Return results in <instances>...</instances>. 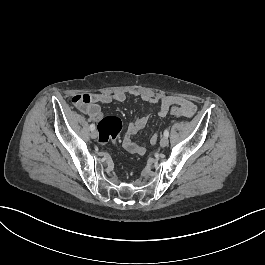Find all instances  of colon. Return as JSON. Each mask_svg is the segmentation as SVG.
Here are the masks:
<instances>
[{
  "label": "colon",
  "mask_w": 265,
  "mask_h": 265,
  "mask_svg": "<svg viewBox=\"0 0 265 265\" xmlns=\"http://www.w3.org/2000/svg\"><path fill=\"white\" fill-rule=\"evenodd\" d=\"M91 99L89 95L85 93L75 94L71 96L69 103L71 107L78 109V108H85L89 106ZM171 112L174 113L175 116L180 117L181 114H185L180 110L179 106L171 107ZM179 112L181 114H179ZM123 128L122 121L117 116L108 115L102 118L97 126L98 131V142L101 145H105L111 141H114L119 134L121 133Z\"/></svg>",
  "instance_id": "colon-1"
}]
</instances>
